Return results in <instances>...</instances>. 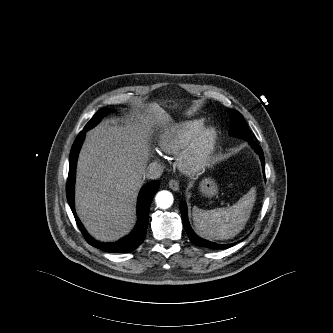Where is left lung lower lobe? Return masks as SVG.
Here are the masks:
<instances>
[{"mask_svg":"<svg viewBox=\"0 0 333 333\" xmlns=\"http://www.w3.org/2000/svg\"><path fill=\"white\" fill-rule=\"evenodd\" d=\"M249 143L253 146V148L259 154L260 159L262 161L263 171L265 172V162H264V155H263L262 149L256 143H254L253 140L249 141ZM180 211L182 214L184 228H185L190 240L194 244H196L200 247H206V248H210V249H225V248H228V247H231L232 245H234V244H228V245L217 244V243H213V242H210V241H207L205 239L198 237L194 233V231L192 230V228L189 224L188 217H187V207L184 202H182L180 205Z\"/></svg>","mask_w":333,"mask_h":333,"instance_id":"obj_1","label":"left lung lower lobe"}]
</instances>
